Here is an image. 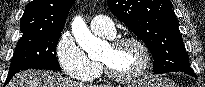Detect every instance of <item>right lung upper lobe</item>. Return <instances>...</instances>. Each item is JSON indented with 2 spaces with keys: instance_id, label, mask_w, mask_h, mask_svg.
I'll return each mask as SVG.
<instances>
[{
  "instance_id": "obj_1",
  "label": "right lung upper lobe",
  "mask_w": 205,
  "mask_h": 87,
  "mask_svg": "<svg viewBox=\"0 0 205 87\" xmlns=\"http://www.w3.org/2000/svg\"><path fill=\"white\" fill-rule=\"evenodd\" d=\"M75 0H33L24 11L22 33L62 31Z\"/></svg>"
}]
</instances>
